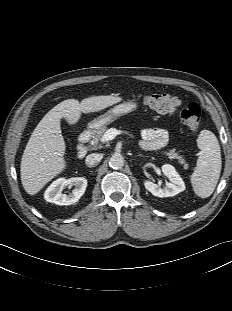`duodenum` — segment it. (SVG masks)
<instances>
[{
	"label": "duodenum",
	"instance_id": "1",
	"mask_svg": "<svg viewBox=\"0 0 232 311\" xmlns=\"http://www.w3.org/2000/svg\"><path fill=\"white\" fill-rule=\"evenodd\" d=\"M90 131H83L78 137L77 158L82 159L87 154V143L90 139Z\"/></svg>",
	"mask_w": 232,
	"mask_h": 311
}]
</instances>
